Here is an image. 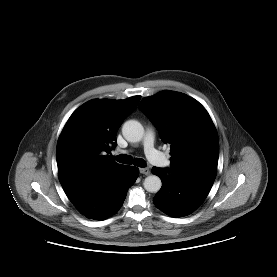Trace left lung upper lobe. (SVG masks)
I'll use <instances>...</instances> for the list:
<instances>
[{
  "mask_svg": "<svg viewBox=\"0 0 277 277\" xmlns=\"http://www.w3.org/2000/svg\"><path fill=\"white\" fill-rule=\"evenodd\" d=\"M139 109L159 130L164 143L171 144L172 172L215 178L219 140L206 109L179 92L162 91L144 98Z\"/></svg>",
  "mask_w": 277,
  "mask_h": 277,
  "instance_id": "1",
  "label": "left lung upper lobe"
}]
</instances>
